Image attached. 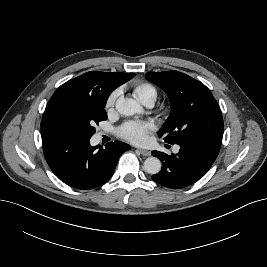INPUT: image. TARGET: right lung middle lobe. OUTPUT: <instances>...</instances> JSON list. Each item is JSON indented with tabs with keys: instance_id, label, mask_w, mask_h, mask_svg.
<instances>
[{
	"instance_id": "right-lung-middle-lobe-1",
	"label": "right lung middle lobe",
	"mask_w": 267,
	"mask_h": 267,
	"mask_svg": "<svg viewBox=\"0 0 267 267\" xmlns=\"http://www.w3.org/2000/svg\"><path fill=\"white\" fill-rule=\"evenodd\" d=\"M106 100L61 96L50 100L44 112L41 126L65 134L91 138L95 124L107 119L104 110Z\"/></svg>"
}]
</instances>
